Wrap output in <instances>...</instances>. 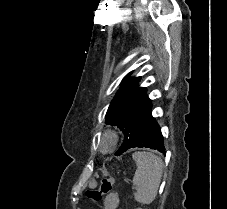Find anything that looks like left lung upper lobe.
<instances>
[{
	"label": "left lung upper lobe",
	"instance_id": "5c2ea615",
	"mask_svg": "<svg viewBox=\"0 0 227 209\" xmlns=\"http://www.w3.org/2000/svg\"><path fill=\"white\" fill-rule=\"evenodd\" d=\"M122 80V86L113 98L106 113V124L116 125L124 133V142L115 155L127 151L145 114L152 108L144 87H138L140 77Z\"/></svg>",
	"mask_w": 227,
	"mask_h": 209
}]
</instances>
